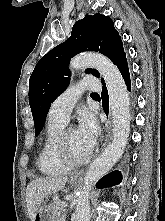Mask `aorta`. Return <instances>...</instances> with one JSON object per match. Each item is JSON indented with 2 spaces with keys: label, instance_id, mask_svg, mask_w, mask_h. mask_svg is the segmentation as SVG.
<instances>
[{
  "label": "aorta",
  "instance_id": "1",
  "mask_svg": "<svg viewBox=\"0 0 165 221\" xmlns=\"http://www.w3.org/2000/svg\"><path fill=\"white\" fill-rule=\"evenodd\" d=\"M87 66L95 67L106 82L113 119V137L111 143L92 162L86 172L84 184L76 199V221H90L91 188L122 156L130 131L129 95L120 71L110 59L101 54H81L70 62V68L73 70H80Z\"/></svg>",
  "mask_w": 165,
  "mask_h": 221
}]
</instances>
